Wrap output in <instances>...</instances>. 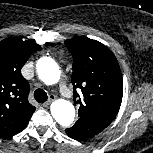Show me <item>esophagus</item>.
I'll return each mask as SVG.
<instances>
[{"mask_svg": "<svg viewBox=\"0 0 153 153\" xmlns=\"http://www.w3.org/2000/svg\"><path fill=\"white\" fill-rule=\"evenodd\" d=\"M55 98H56L55 95H50L48 100L45 103H43V106L47 107L55 100Z\"/></svg>", "mask_w": 153, "mask_h": 153, "instance_id": "obj_1", "label": "esophagus"}]
</instances>
